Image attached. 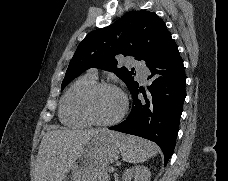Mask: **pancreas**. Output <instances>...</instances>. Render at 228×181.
I'll return each mask as SVG.
<instances>
[{"label": "pancreas", "mask_w": 228, "mask_h": 181, "mask_svg": "<svg viewBox=\"0 0 228 181\" xmlns=\"http://www.w3.org/2000/svg\"><path fill=\"white\" fill-rule=\"evenodd\" d=\"M107 173H111L110 167H107V169H102L101 171V175H103L104 181H109V175H107Z\"/></svg>", "instance_id": "obj_1"}]
</instances>
